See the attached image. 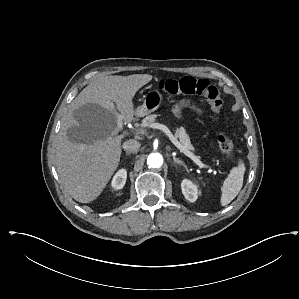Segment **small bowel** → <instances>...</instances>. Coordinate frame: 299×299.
Masks as SVG:
<instances>
[{
    "label": "small bowel",
    "mask_w": 299,
    "mask_h": 299,
    "mask_svg": "<svg viewBox=\"0 0 299 299\" xmlns=\"http://www.w3.org/2000/svg\"><path fill=\"white\" fill-rule=\"evenodd\" d=\"M185 106V102H181L174 106L173 112L176 116L180 117L182 113V108ZM196 109V108H195Z\"/></svg>",
    "instance_id": "small-bowel-1"
}]
</instances>
